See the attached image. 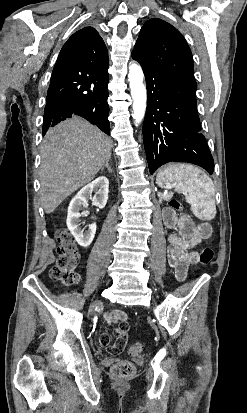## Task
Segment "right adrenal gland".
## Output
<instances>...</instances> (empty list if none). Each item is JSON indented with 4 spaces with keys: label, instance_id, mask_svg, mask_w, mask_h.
<instances>
[{
    "label": "right adrenal gland",
    "instance_id": "2a0ac1e0",
    "mask_svg": "<svg viewBox=\"0 0 247 413\" xmlns=\"http://www.w3.org/2000/svg\"><path fill=\"white\" fill-rule=\"evenodd\" d=\"M105 166H106L107 170H109V172H112V168H110V164H109V158H108V160H106L105 164H103V166H101L102 172H103Z\"/></svg>",
    "mask_w": 247,
    "mask_h": 413
}]
</instances>
